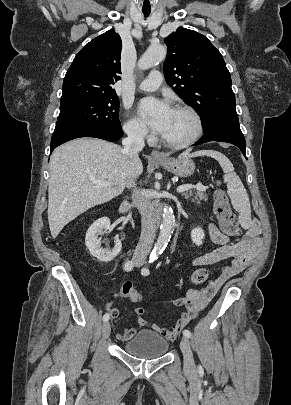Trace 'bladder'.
Here are the masks:
<instances>
[{
	"mask_svg": "<svg viewBox=\"0 0 291 405\" xmlns=\"http://www.w3.org/2000/svg\"><path fill=\"white\" fill-rule=\"evenodd\" d=\"M168 347V341L162 335L145 329L127 340L123 344L122 349L134 357L155 359L162 357L167 352Z\"/></svg>",
	"mask_w": 291,
	"mask_h": 405,
	"instance_id": "obj_1",
	"label": "bladder"
}]
</instances>
